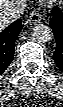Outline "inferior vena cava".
<instances>
[{
    "label": "inferior vena cava",
    "mask_w": 63,
    "mask_h": 107,
    "mask_svg": "<svg viewBox=\"0 0 63 107\" xmlns=\"http://www.w3.org/2000/svg\"><path fill=\"white\" fill-rule=\"evenodd\" d=\"M25 7L26 4L24 0L15 1V5L10 8H5L4 6H2L1 17L9 19L10 21H14L21 17Z\"/></svg>",
    "instance_id": "obj_1"
}]
</instances>
